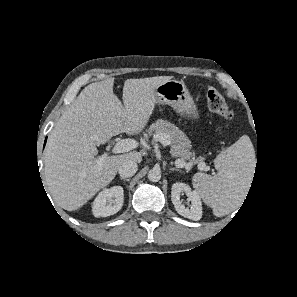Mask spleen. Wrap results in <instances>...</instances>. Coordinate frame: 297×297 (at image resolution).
Returning <instances> with one entry per match:
<instances>
[{
	"mask_svg": "<svg viewBox=\"0 0 297 297\" xmlns=\"http://www.w3.org/2000/svg\"><path fill=\"white\" fill-rule=\"evenodd\" d=\"M255 164L253 145L242 136L216 157V175H194V187L215 216H224L236 208L249 187Z\"/></svg>",
	"mask_w": 297,
	"mask_h": 297,
	"instance_id": "obj_1",
	"label": "spleen"
}]
</instances>
